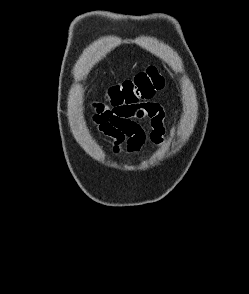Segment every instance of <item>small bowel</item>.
Returning a JSON list of instances; mask_svg holds the SVG:
<instances>
[{"mask_svg":"<svg viewBox=\"0 0 249 294\" xmlns=\"http://www.w3.org/2000/svg\"><path fill=\"white\" fill-rule=\"evenodd\" d=\"M180 108H176L168 133L175 135ZM94 122L98 130L112 143L113 152L120 155L126 152L137 155L146 142L142 123L149 121L150 141L155 145L165 143V114L162 106L156 102H141L113 106L97 105Z\"/></svg>","mask_w":249,"mask_h":294,"instance_id":"small-bowel-1","label":"small bowel"}]
</instances>
